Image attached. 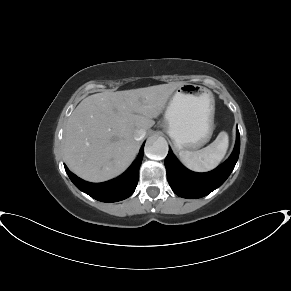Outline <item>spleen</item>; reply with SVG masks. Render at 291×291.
Segmentation results:
<instances>
[{
  "mask_svg": "<svg viewBox=\"0 0 291 291\" xmlns=\"http://www.w3.org/2000/svg\"><path fill=\"white\" fill-rule=\"evenodd\" d=\"M228 144V134L222 131L207 147L194 152L181 150L179 156L188 169L195 172H207L219 165L227 152Z\"/></svg>",
  "mask_w": 291,
  "mask_h": 291,
  "instance_id": "3e777b00",
  "label": "spleen"
}]
</instances>
